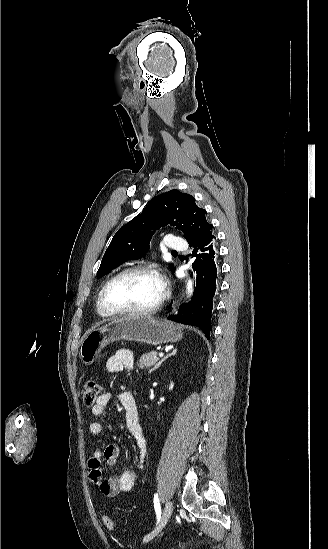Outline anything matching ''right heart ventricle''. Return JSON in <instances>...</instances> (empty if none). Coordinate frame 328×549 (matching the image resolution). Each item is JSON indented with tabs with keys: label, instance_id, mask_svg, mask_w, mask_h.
<instances>
[{
	"label": "right heart ventricle",
	"instance_id": "1",
	"mask_svg": "<svg viewBox=\"0 0 328 549\" xmlns=\"http://www.w3.org/2000/svg\"><path fill=\"white\" fill-rule=\"evenodd\" d=\"M96 311H97V314L101 317V318H104V319H107V318H110L109 316H107L106 314H104L101 310V303H100V300H99V296H98V299H97V303H96Z\"/></svg>",
	"mask_w": 328,
	"mask_h": 549
}]
</instances>
